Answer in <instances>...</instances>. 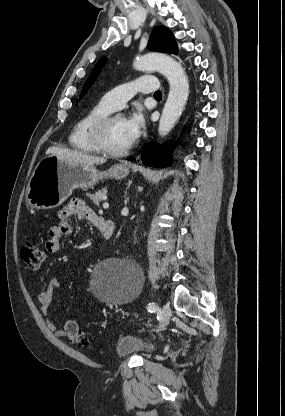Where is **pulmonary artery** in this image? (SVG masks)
Instances as JSON below:
<instances>
[{
    "label": "pulmonary artery",
    "instance_id": "pulmonary-artery-1",
    "mask_svg": "<svg viewBox=\"0 0 285 416\" xmlns=\"http://www.w3.org/2000/svg\"><path fill=\"white\" fill-rule=\"evenodd\" d=\"M128 86H135L136 91L149 93L158 87V81L152 75L141 76L118 87H111V90L102 97V101L111 110L119 109L122 102H130L132 99V88Z\"/></svg>",
    "mask_w": 285,
    "mask_h": 416
}]
</instances>
